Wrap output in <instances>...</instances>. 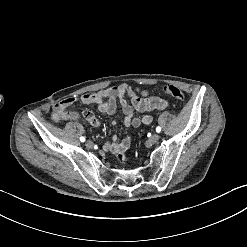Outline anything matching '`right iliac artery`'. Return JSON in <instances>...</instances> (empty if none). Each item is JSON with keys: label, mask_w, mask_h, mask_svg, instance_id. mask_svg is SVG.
<instances>
[{"label": "right iliac artery", "mask_w": 247, "mask_h": 247, "mask_svg": "<svg viewBox=\"0 0 247 247\" xmlns=\"http://www.w3.org/2000/svg\"><path fill=\"white\" fill-rule=\"evenodd\" d=\"M80 141H81V142H84V141H85V137H83V136L80 137Z\"/></svg>", "instance_id": "1"}]
</instances>
